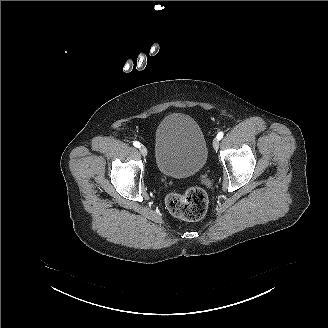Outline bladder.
I'll use <instances>...</instances> for the list:
<instances>
[{
	"instance_id": "1",
	"label": "bladder",
	"mask_w": 328,
	"mask_h": 328,
	"mask_svg": "<svg viewBox=\"0 0 328 328\" xmlns=\"http://www.w3.org/2000/svg\"><path fill=\"white\" fill-rule=\"evenodd\" d=\"M155 161L159 173L183 176L202 170L206 144L195 120L186 114H171L155 134Z\"/></svg>"
}]
</instances>
